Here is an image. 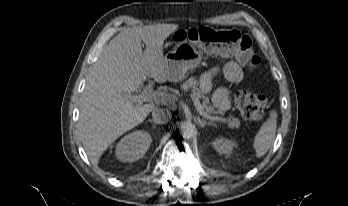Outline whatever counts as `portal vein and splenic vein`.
Segmentation results:
<instances>
[{"mask_svg":"<svg viewBox=\"0 0 348 206\" xmlns=\"http://www.w3.org/2000/svg\"><path fill=\"white\" fill-rule=\"evenodd\" d=\"M126 99H129L132 102L142 103L143 101H155V102H163L166 103L168 101H171L174 97L170 94L163 93V92H154L153 91V82H150L143 90V92L136 96L126 95ZM191 98L194 102V105L199 112L200 115H202L205 118H208L213 121H224L225 119L221 117H215V116H209L203 109V106L200 103V100L198 97H196L194 94H191Z\"/></svg>","mask_w":348,"mask_h":206,"instance_id":"18ae733b","label":"portal vein and splenic vein"}]
</instances>
